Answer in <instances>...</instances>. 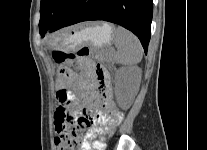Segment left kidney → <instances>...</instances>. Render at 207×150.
I'll return each mask as SVG.
<instances>
[{
  "label": "left kidney",
  "mask_w": 207,
  "mask_h": 150,
  "mask_svg": "<svg viewBox=\"0 0 207 150\" xmlns=\"http://www.w3.org/2000/svg\"><path fill=\"white\" fill-rule=\"evenodd\" d=\"M141 81V69L138 67H122L115 77V95L117 104L127 110L138 93Z\"/></svg>",
  "instance_id": "left-kidney-1"
}]
</instances>
